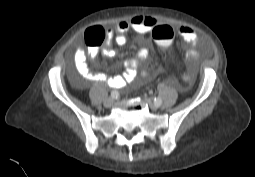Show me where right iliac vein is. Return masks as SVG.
<instances>
[{
	"label": "right iliac vein",
	"mask_w": 255,
	"mask_h": 177,
	"mask_svg": "<svg viewBox=\"0 0 255 177\" xmlns=\"http://www.w3.org/2000/svg\"><path fill=\"white\" fill-rule=\"evenodd\" d=\"M113 103H114V99L109 97V98L105 99L103 104H104V107L110 108L113 105Z\"/></svg>",
	"instance_id": "right-iliac-vein-1"
}]
</instances>
